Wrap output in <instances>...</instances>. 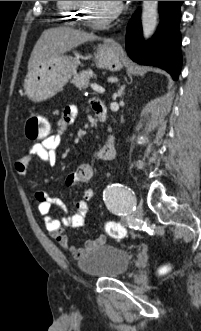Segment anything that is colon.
I'll return each mask as SVG.
<instances>
[{
    "instance_id": "obj_1",
    "label": "colon",
    "mask_w": 201,
    "mask_h": 331,
    "mask_svg": "<svg viewBox=\"0 0 201 331\" xmlns=\"http://www.w3.org/2000/svg\"><path fill=\"white\" fill-rule=\"evenodd\" d=\"M26 136L32 141H42L46 139L50 132V127L46 118L37 113L31 112L26 119ZM106 232L112 238H123L126 234L123 226L116 222L106 223ZM98 239L104 242V237L100 236ZM162 274L170 272L169 266H164L161 271Z\"/></svg>"
}]
</instances>
